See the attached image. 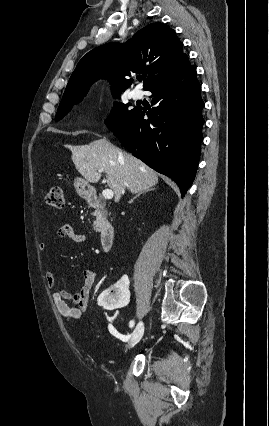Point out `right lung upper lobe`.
<instances>
[{"mask_svg":"<svg viewBox=\"0 0 269 426\" xmlns=\"http://www.w3.org/2000/svg\"><path fill=\"white\" fill-rule=\"evenodd\" d=\"M190 66L175 31L156 22L139 30L126 44L107 43L88 52L72 73L62 99L85 96L98 79L111 82L113 94L131 84V73L147 76L144 90Z\"/></svg>","mask_w":269,"mask_h":426,"instance_id":"cb5924a9","label":"right lung upper lobe"}]
</instances>
